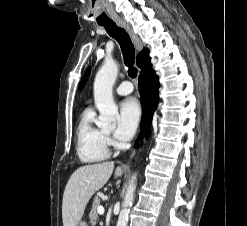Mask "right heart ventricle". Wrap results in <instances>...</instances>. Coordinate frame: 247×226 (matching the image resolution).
Segmentation results:
<instances>
[{
  "instance_id": "1",
  "label": "right heart ventricle",
  "mask_w": 247,
  "mask_h": 226,
  "mask_svg": "<svg viewBox=\"0 0 247 226\" xmlns=\"http://www.w3.org/2000/svg\"><path fill=\"white\" fill-rule=\"evenodd\" d=\"M94 112L86 109L77 127L76 150L83 163H96L109 156L108 140L104 131L95 125Z\"/></svg>"
}]
</instances>
